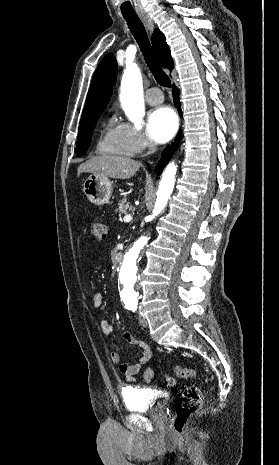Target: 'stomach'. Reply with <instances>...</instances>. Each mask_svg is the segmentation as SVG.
<instances>
[{
	"instance_id": "obj_1",
	"label": "stomach",
	"mask_w": 279,
	"mask_h": 465,
	"mask_svg": "<svg viewBox=\"0 0 279 465\" xmlns=\"http://www.w3.org/2000/svg\"><path fill=\"white\" fill-rule=\"evenodd\" d=\"M83 192L92 204H106L112 194V183L107 177L91 174L83 183Z\"/></svg>"
}]
</instances>
